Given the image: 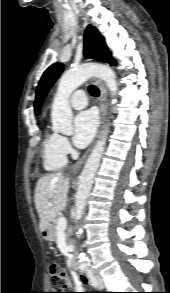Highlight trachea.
<instances>
[{"mask_svg": "<svg viewBox=\"0 0 170 293\" xmlns=\"http://www.w3.org/2000/svg\"><path fill=\"white\" fill-rule=\"evenodd\" d=\"M88 91L90 92L92 96H95V97L99 96V89L96 86L90 85L88 87Z\"/></svg>", "mask_w": 170, "mask_h": 293, "instance_id": "3493384b", "label": "trachea"}]
</instances>
